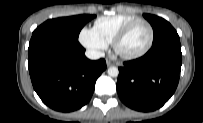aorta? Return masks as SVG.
<instances>
[{
	"mask_svg": "<svg viewBox=\"0 0 203 123\" xmlns=\"http://www.w3.org/2000/svg\"><path fill=\"white\" fill-rule=\"evenodd\" d=\"M119 74V70L117 67L112 66L108 68V75L111 77H117Z\"/></svg>",
	"mask_w": 203,
	"mask_h": 123,
	"instance_id": "obj_1",
	"label": "aorta"
}]
</instances>
